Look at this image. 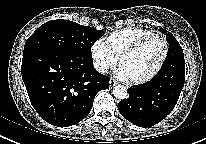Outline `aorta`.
<instances>
[{"instance_id":"aorta-1","label":"aorta","mask_w":206,"mask_h":144,"mask_svg":"<svg viewBox=\"0 0 206 144\" xmlns=\"http://www.w3.org/2000/svg\"><path fill=\"white\" fill-rule=\"evenodd\" d=\"M113 95L115 98L119 99V100H123L126 99L128 97V91L126 89V87L122 86V85H117L113 88Z\"/></svg>"}]
</instances>
